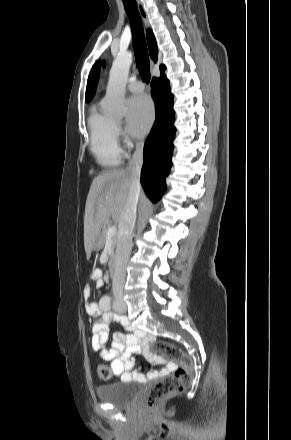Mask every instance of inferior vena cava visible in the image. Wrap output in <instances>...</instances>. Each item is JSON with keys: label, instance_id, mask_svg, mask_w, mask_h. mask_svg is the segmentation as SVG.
Instances as JSON below:
<instances>
[{"label": "inferior vena cava", "instance_id": "inferior-vena-cava-1", "mask_svg": "<svg viewBox=\"0 0 291 440\" xmlns=\"http://www.w3.org/2000/svg\"><path fill=\"white\" fill-rule=\"evenodd\" d=\"M143 164V142L136 145V150L126 169L130 175L129 197L121 215L118 230V243L115 254V269L112 290L115 302L124 305L123 290L126 279V266L132 250V233L136 221V208L140 194V173Z\"/></svg>", "mask_w": 291, "mask_h": 440}]
</instances>
